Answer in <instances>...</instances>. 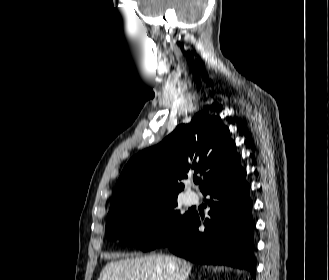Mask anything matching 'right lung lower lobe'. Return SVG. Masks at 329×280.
<instances>
[{
  "mask_svg": "<svg viewBox=\"0 0 329 280\" xmlns=\"http://www.w3.org/2000/svg\"><path fill=\"white\" fill-rule=\"evenodd\" d=\"M246 171L238 164L202 191L209 195V218L199 231V215L192 218L171 241L164 245L177 256L200 264L230 265L256 272L253 254L254 222Z\"/></svg>",
  "mask_w": 329,
  "mask_h": 280,
  "instance_id": "98d812e1",
  "label": "right lung lower lobe"
}]
</instances>
